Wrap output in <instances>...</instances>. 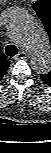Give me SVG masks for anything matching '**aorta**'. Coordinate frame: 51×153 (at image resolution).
<instances>
[{
  "mask_svg": "<svg viewBox=\"0 0 51 153\" xmlns=\"http://www.w3.org/2000/svg\"><path fill=\"white\" fill-rule=\"evenodd\" d=\"M7 31L14 42L33 51L31 66L36 73L51 71L50 41L41 23L27 13H18L10 19Z\"/></svg>",
  "mask_w": 51,
  "mask_h": 153,
  "instance_id": "obj_1",
  "label": "aorta"
}]
</instances>
